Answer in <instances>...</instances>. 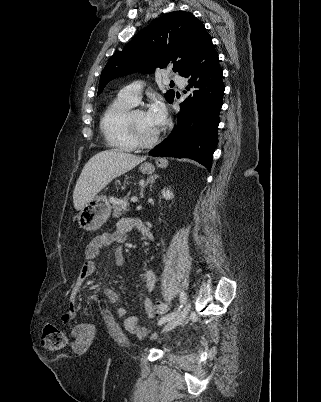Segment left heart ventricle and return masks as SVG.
Segmentation results:
<instances>
[{"instance_id": "left-heart-ventricle-1", "label": "left heart ventricle", "mask_w": 321, "mask_h": 402, "mask_svg": "<svg viewBox=\"0 0 321 402\" xmlns=\"http://www.w3.org/2000/svg\"><path fill=\"white\" fill-rule=\"evenodd\" d=\"M134 126L143 139L152 138L159 130L160 127L152 124L144 111H138L133 114Z\"/></svg>"}]
</instances>
